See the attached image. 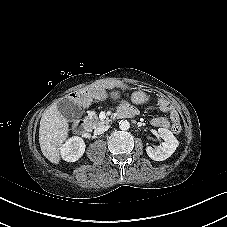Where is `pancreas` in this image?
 I'll return each mask as SVG.
<instances>
[{"mask_svg": "<svg viewBox=\"0 0 227 227\" xmlns=\"http://www.w3.org/2000/svg\"><path fill=\"white\" fill-rule=\"evenodd\" d=\"M86 120L88 121L89 125L92 128L101 126L105 123L103 121L98 120L95 115H90V116L86 117Z\"/></svg>", "mask_w": 227, "mask_h": 227, "instance_id": "pancreas-1", "label": "pancreas"}]
</instances>
